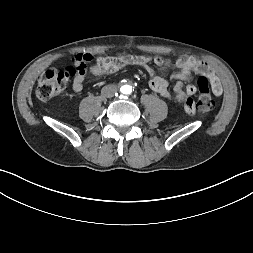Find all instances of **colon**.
Returning a JSON list of instances; mask_svg holds the SVG:
<instances>
[{
    "instance_id": "5ec220e1",
    "label": "colon",
    "mask_w": 253,
    "mask_h": 253,
    "mask_svg": "<svg viewBox=\"0 0 253 253\" xmlns=\"http://www.w3.org/2000/svg\"><path fill=\"white\" fill-rule=\"evenodd\" d=\"M88 60L83 59L69 64L63 69H49L44 72L37 83V98L46 101L60 94L71 78L85 73ZM198 88L199 97L196 99L198 112L207 113L213 103L208 79L203 75L198 78Z\"/></svg>"
}]
</instances>
